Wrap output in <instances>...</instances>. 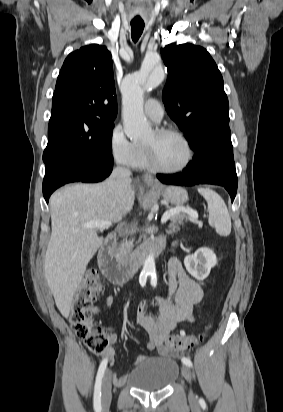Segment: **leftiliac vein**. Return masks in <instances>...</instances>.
I'll return each mask as SVG.
<instances>
[{"instance_id":"4c4485c4","label":"left iliac vein","mask_w":283,"mask_h":412,"mask_svg":"<svg viewBox=\"0 0 283 412\" xmlns=\"http://www.w3.org/2000/svg\"><path fill=\"white\" fill-rule=\"evenodd\" d=\"M182 374L184 378L190 383L192 379V373L190 368L187 365L182 366ZM189 399L193 401L195 399V395L192 390L189 391Z\"/></svg>"}]
</instances>
